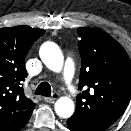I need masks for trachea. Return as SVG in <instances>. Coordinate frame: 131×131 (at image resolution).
Here are the masks:
<instances>
[{"label":"trachea","instance_id":"obj_1","mask_svg":"<svg viewBox=\"0 0 131 131\" xmlns=\"http://www.w3.org/2000/svg\"><path fill=\"white\" fill-rule=\"evenodd\" d=\"M35 94L50 97L51 96L50 84L47 82L40 83L37 89L35 90Z\"/></svg>","mask_w":131,"mask_h":131}]
</instances>
